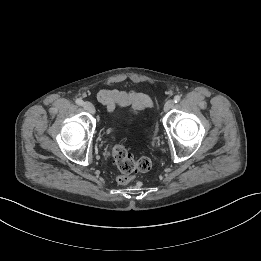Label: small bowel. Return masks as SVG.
I'll return each instance as SVG.
<instances>
[{
	"label": "small bowel",
	"instance_id": "small-bowel-1",
	"mask_svg": "<svg viewBox=\"0 0 261 261\" xmlns=\"http://www.w3.org/2000/svg\"><path fill=\"white\" fill-rule=\"evenodd\" d=\"M97 98L109 112L114 111L118 106L131 107L133 110L139 111L150 103L145 94L117 89H103L98 93Z\"/></svg>",
	"mask_w": 261,
	"mask_h": 261
}]
</instances>
